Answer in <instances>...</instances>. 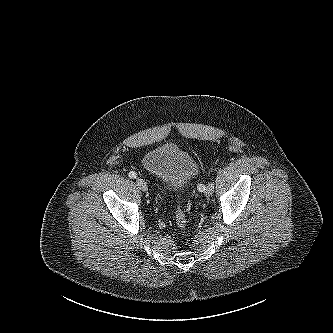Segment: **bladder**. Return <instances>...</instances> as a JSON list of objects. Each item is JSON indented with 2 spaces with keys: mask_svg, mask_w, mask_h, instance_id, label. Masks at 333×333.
I'll return each mask as SVG.
<instances>
[{
  "mask_svg": "<svg viewBox=\"0 0 333 333\" xmlns=\"http://www.w3.org/2000/svg\"><path fill=\"white\" fill-rule=\"evenodd\" d=\"M143 168L172 190L186 188L198 172L196 159L176 145H164L145 154Z\"/></svg>",
  "mask_w": 333,
  "mask_h": 333,
  "instance_id": "31cf9c89",
  "label": "bladder"
}]
</instances>
